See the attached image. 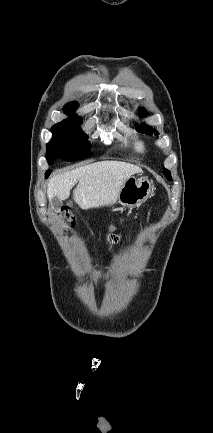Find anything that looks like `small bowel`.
Returning <instances> with one entry per match:
<instances>
[{"label":"small bowel","instance_id":"1","mask_svg":"<svg viewBox=\"0 0 213 433\" xmlns=\"http://www.w3.org/2000/svg\"><path fill=\"white\" fill-rule=\"evenodd\" d=\"M122 221H123V220H122ZM118 239H119V237H118V235L115 234V233H110V234L108 235V241H109L110 243H116V242L118 241Z\"/></svg>","mask_w":213,"mask_h":433}]
</instances>
